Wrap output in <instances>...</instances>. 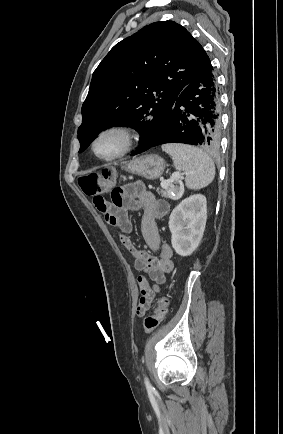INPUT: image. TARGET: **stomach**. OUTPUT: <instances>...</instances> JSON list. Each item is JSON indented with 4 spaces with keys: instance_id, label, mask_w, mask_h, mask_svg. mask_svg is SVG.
<instances>
[{
    "instance_id": "0dacf381",
    "label": "stomach",
    "mask_w": 283,
    "mask_h": 434,
    "mask_svg": "<svg viewBox=\"0 0 283 434\" xmlns=\"http://www.w3.org/2000/svg\"><path fill=\"white\" fill-rule=\"evenodd\" d=\"M124 168L132 174L154 180L164 172L165 162L160 156L150 154L132 160Z\"/></svg>"
}]
</instances>
